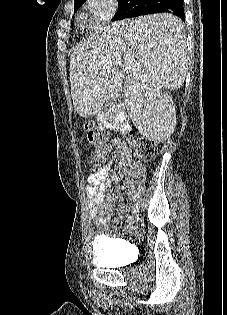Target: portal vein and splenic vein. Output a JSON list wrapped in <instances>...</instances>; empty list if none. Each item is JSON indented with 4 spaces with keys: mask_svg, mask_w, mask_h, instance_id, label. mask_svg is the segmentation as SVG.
<instances>
[{
    "mask_svg": "<svg viewBox=\"0 0 227 315\" xmlns=\"http://www.w3.org/2000/svg\"><path fill=\"white\" fill-rule=\"evenodd\" d=\"M128 71V67H123V72H127Z\"/></svg>",
    "mask_w": 227,
    "mask_h": 315,
    "instance_id": "portal-vein-and-splenic-vein-1",
    "label": "portal vein and splenic vein"
}]
</instances>
